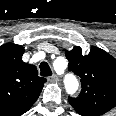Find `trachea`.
Wrapping results in <instances>:
<instances>
[{
  "label": "trachea",
  "mask_w": 116,
  "mask_h": 116,
  "mask_svg": "<svg viewBox=\"0 0 116 116\" xmlns=\"http://www.w3.org/2000/svg\"><path fill=\"white\" fill-rule=\"evenodd\" d=\"M39 67L41 76L46 77L52 75V71L46 62H41Z\"/></svg>",
  "instance_id": "obj_1"
}]
</instances>
